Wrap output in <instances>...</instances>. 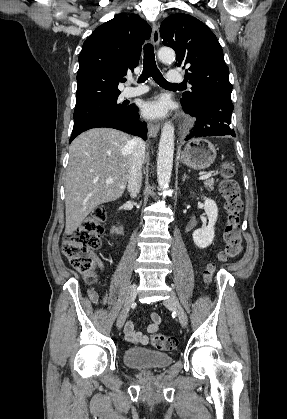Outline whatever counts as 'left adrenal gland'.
Listing matches in <instances>:
<instances>
[{
	"label": "left adrenal gland",
	"mask_w": 287,
	"mask_h": 419,
	"mask_svg": "<svg viewBox=\"0 0 287 419\" xmlns=\"http://www.w3.org/2000/svg\"><path fill=\"white\" fill-rule=\"evenodd\" d=\"M189 177L186 175V174H184V176H183V182L186 180V179H188Z\"/></svg>",
	"instance_id": "obj_1"
}]
</instances>
